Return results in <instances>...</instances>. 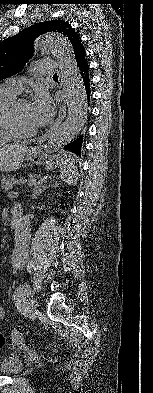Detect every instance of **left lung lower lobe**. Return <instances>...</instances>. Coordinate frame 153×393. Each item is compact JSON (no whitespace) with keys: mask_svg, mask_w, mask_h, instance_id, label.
<instances>
[{"mask_svg":"<svg viewBox=\"0 0 153 393\" xmlns=\"http://www.w3.org/2000/svg\"><path fill=\"white\" fill-rule=\"evenodd\" d=\"M76 62L77 66L80 71L81 78L83 80V86L87 94L88 101L90 99V89H89V74H88V69L89 65L87 63V60L85 58V52L78 54L76 57ZM81 144H82V136H80L76 141L64 146L65 149L80 155V149H81Z\"/></svg>","mask_w":153,"mask_h":393,"instance_id":"left-lung-lower-lobe-1","label":"left lung lower lobe"}]
</instances>
